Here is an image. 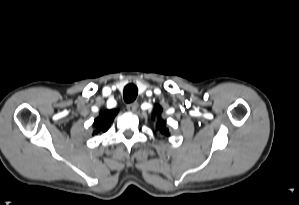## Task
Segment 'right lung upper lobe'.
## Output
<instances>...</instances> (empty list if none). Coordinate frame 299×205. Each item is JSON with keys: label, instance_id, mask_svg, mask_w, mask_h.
Returning <instances> with one entry per match:
<instances>
[{"label": "right lung upper lobe", "instance_id": "1", "mask_svg": "<svg viewBox=\"0 0 299 205\" xmlns=\"http://www.w3.org/2000/svg\"><path fill=\"white\" fill-rule=\"evenodd\" d=\"M116 114H117L116 110H106L103 113H101L99 117L94 121L93 124L95 127L94 133L106 132L110 124L114 120Z\"/></svg>", "mask_w": 299, "mask_h": 205}]
</instances>
